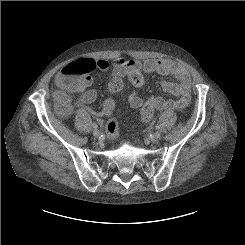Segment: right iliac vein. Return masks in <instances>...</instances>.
I'll return each mask as SVG.
<instances>
[{
	"label": "right iliac vein",
	"instance_id": "63e3f726",
	"mask_svg": "<svg viewBox=\"0 0 245 245\" xmlns=\"http://www.w3.org/2000/svg\"><path fill=\"white\" fill-rule=\"evenodd\" d=\"M93 136L98 138L100 136V132L97 129H94Z\"/></svg>",
	"mask_w": 245,
	"mask_h": 245
}]
</instances>
